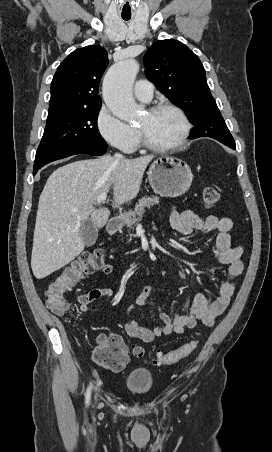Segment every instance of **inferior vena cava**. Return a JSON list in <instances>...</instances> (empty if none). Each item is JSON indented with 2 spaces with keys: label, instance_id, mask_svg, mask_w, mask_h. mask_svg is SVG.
<instances>
[{
  "label": "inferior vena cava",
  "instance_id": "1",
  "mask_svg": "<svg viewBox=\"0 0 272 452\" xmlns=\"http://www.w3.org/2000/svg\"><path fill=\"white\" fill-rule=\"evenodd\" d=\"M114 158H115L116 161H119L120 159H123L124 157H123L122 154L116 153V154L114 155Z\"/></svg>",
  "mask_w": 272,
  "mask_h": 452
}]
</instances>
